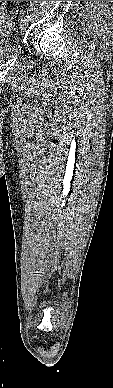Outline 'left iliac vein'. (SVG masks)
<instances>
[{"label":"left iliac vein","mask_w":113,"mask_h":388,"mask_svg":"<svg viewBox=\"0 0 113 388\" xmlns=\"http://www.w3.org/2000/svg\"><path fill=\"white\" fill-rule=\"evenodd\" d=\"M28 25H29V19H27L26 17L20 19V27L22 29H26Z\"/></svg>","instance_id":"1"}]
</instances>
